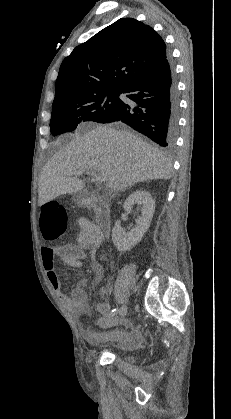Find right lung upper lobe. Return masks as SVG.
Listing matches in <instances>:
<instances>
[{"label": "right lung upper lobe", "instance_id": "1", "mask_svg": "<svg viewBox=\"0 0 231 419\" xmlns=\"http://www.w3.org/2000/svg\"><path fill=\"white\" fill-rule=\"evenodd\" d=\"M167 57L156 31L133 18H121L63 60L53 103L104 89L124 90Z\"/></svg>", "mask_w": 231, "mask_h": 419}]
</instances>
